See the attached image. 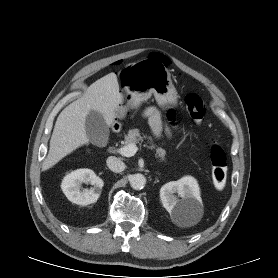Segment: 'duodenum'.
I'll use <instances>...</instances> for the list:
<instances>
[{
    "mask_svg": "<svg viewBox=\"0 0 278 278\" xmlns=\"http://www.w3.org/2000/svg\"><path fill=\"white\" fill-rule=\"evenodd\" d=\"M115 131H118V127H115Z\"/></svg>",
    "mask_w": 278,
    "mask_h": 278,
    "instance_id": "duodenum-1",
    "label": "duodenum"
}]
</instances>
